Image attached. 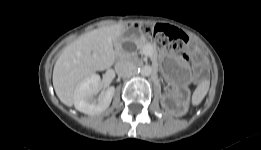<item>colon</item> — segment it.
<instances>
[{
	"label": "colon",
	"mask_w": 261,
	"mask_h": 150,
	"mask_svg": "<svg viewBox=\"0 0 261 150\" xmlns=\"http://www.w3.org/2000/svg\"><path fill=\"white\" fill-rule=\"evenodd\" d=\"M141 31L153 36L160 45L174 52H180L188 41L185 33L169 25L144 24L141 26ZM181 58L185 62L188 60L185 53L181 54Z\"/></svg>",
	"instance_id": "1"
}]
</instances>
